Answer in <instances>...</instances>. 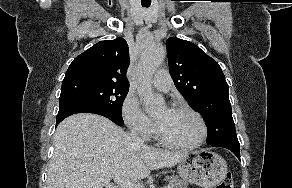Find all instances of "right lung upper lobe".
<instances>
[{
  "mask_svg": "<svg viewBox=\"0 0 292 188\" xmlns=\"http://www.w3.org/2000/svg\"><path fill=\"white\" fill-rule=\"evenodd\" d=\"M128 65L129 49L123 38L100 41L74 59L64 80L91 78L129 86Z\"/></svg>",
  "mask_w": 292,
  "mask_h": 188,
  "instance_id": "obj_1",
  "label": "right lung upper lobe"
}]
</instances>
